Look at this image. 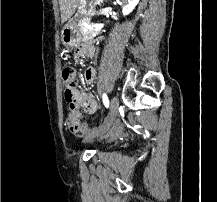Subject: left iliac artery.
I'll use <instances>...</instances> for the list:
<instances>
[{
	"instance_id": "1",
	"label": "left iliac artery",
	"mask_w": 217,
	"mask_h": 202,
	"mask_svg": "<svg viewBox=\"0 0 217 202\" xmlns=\"http://www.w3.org/2000/svg\"><path fill=\"white\" fill-rule=\"evenodd\" d=\"M102 99H103V103H104L105 107L108 108L109 107V100H108L106 93L103 94Z\"/></svg>"
}]
</instances>
